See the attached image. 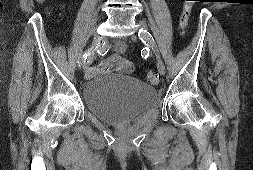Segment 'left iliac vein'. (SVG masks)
I'll return each mask as SVG.
<instances>
[{"instance_id": "1", "label": "left iliac vein", "mask_w": 253, "mask_h": 170, "mask_svg": "<svg viewBox=\"0 0 253 170\" xmlns=\"http://www.w3.org/2000/svg\"><path fill=\"white\" fill-rule=\"evenodd\" d=\"M139 26L144 30L148 29V26L144 21H139ZM156 61H157V68H158L159 73L161 75H164L165 74V65H164L163 61L160 58H157Z\"/></svg>"}]
</instances>
